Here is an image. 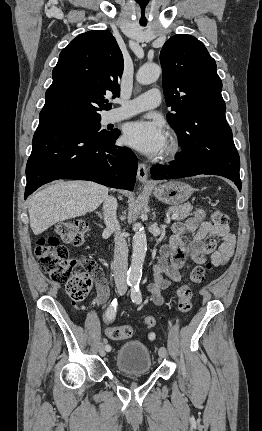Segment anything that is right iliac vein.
<instances>
[{
	"instance_id": "1",
	"label": "right iliac vein",
	"mask_w": 262,
	"mask_h": 431,
	"mask_svg": "<svg viewBox=\"0 0 262 431\" xmlns=\"http://www.w3.org/2000/svg\"><path fill=\"white\" fill-rule=\"evenodd\" d=\"M99 354L104 357L106 355V348L103 344L99 346Z\"/></svg>"
}]
</instances>
